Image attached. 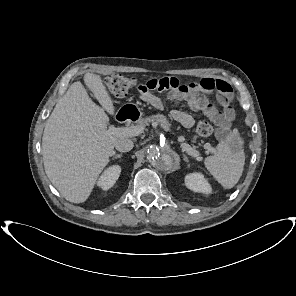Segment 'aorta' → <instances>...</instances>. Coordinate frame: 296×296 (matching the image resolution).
<instances>
[{"label":"aorta","instance_id":"aorta-1","mask_svg":"<svg viewBox=\"0 0 296 296\" xmlns=\"http://www.w3.org/2000/svg\"><path fill=\"white\" fill-rule=\"evenodd\" d=\"M149 163L158 170H166L173 164L172 152L166 147L151 145L147 149Z\"/></svg>","mask_w":296,"mask_h":296}]
</instances>
